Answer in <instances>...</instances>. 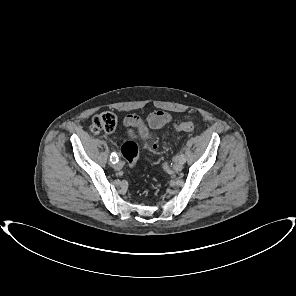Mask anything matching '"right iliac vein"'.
<instances>
[{"instance_id": "obj_1", "label": "right iliac vein", "mask_w": 296, "mask_h": 296, "mask_svg": "<svg viewBox=\"0 0 296 296\" xmlns=\"http://www.w3.org/2000/svg\"><path fill=\"white\" fill-rule=\"evenodd\" d=\"M123 167V163L121 161L117 162L115 165H114V168L116 170H121Z\"/></svg>"}]
</instances>
